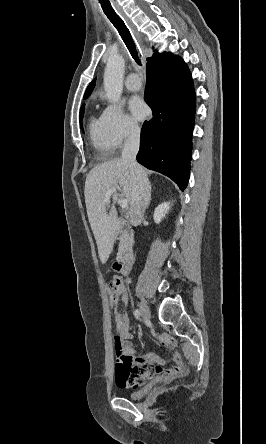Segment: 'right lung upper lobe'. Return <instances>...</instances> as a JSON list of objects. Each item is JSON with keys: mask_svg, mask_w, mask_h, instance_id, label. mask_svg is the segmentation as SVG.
Returning <instances> with one entry per match:
<instances>
[{"mask_svg": "<svg viewBox=\"0 0 266 444\" xmlns=\"http://www.w3.org/2000/svg\"><path fill=\"white\" fill-rule=\"evenodd\" d=\"M174 57H176V56H173L170 53H166V52L158 53L157 51H155L153 56L151 58L147 59V61H148L147 66L158 64V63L164 62L166 60L172 59ZM95 82H96V79H94L87 87V90L84 94V99H86L91 94V92L95 86Z\"/></svg>", "mask_w": 266, "mask_h": 444, "instance_id": "right-lung-upper-lobe-1", "label": "right lung upper lobe"}]
</instances>
